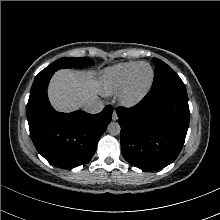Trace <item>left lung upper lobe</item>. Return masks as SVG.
Here are the masks:
<instances>
[{
    "label": "left lung upper lobe",
    "instance_id": "5c2ea615",
    "mask_svg": "<svg viewBox=\"0 0 220 220\" xmlns=\"http://www.w3.org/2000/svg\"><path fill=\"white\" fill-rule=\"evenodd\" d=\"M153 62L155 64V75L150 91L188 98L186 87L177 73L160 59L153 58Z\"/></svg>",
    "mask_w": 220,
    "mask_h": 220
}]
</instances>
